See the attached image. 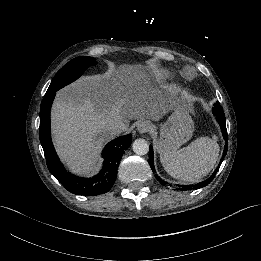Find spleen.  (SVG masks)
Returning <instances> with one entry per match:
<instances>
[{"label": "spleen", "instance_id": "spleen-1", "mask_svg": "<svg viewBox=\"0 0 261 261\" xmlns=\"http://www.w3.org/2000/svg\"><path fill=\"white\" fill-rule=\"evenodd\" d=\"M218 152L219 146L214 139L199 136L186 147L162 154L161 163L174 178L198 182L213 168Z\"/></svg>", "mask_w": 261, "mask_h": 261}]
</instances>
